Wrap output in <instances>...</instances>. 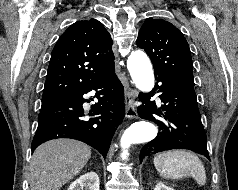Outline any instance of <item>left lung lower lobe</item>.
I'll list each match as a JSON object with an SVG mask.
<instances>
[{
    "mask_svg": "<svg viewBox=\"0 0 238 190\" xmlns=\"http://www.w3.org/2000/svg\"><path fill=\"white\" fill-rule=\"evenodd\" d=\"M155 78L162 83L160 86L156 84V87L163 104L157 108L155 101H149L155 89L149 94H140V100L145 105L138 108V115L156 123L159 133L143 147L140 161L151 153L171 149L192 150L210 160L194 84L166 74H155Z\"/></svg>",
    "mask_w": 238,
    "mask_h": 190,
    "instance_id": "1",
    "label": "left lung lower lobe"
}]
</instances>
